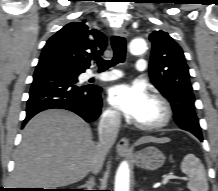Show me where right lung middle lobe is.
<instances>
[{"mask_svg": "<svg viewBox=\"0 0 218 191\" xmlns=\"http://www.w3.org/2000/svg\"><path fill=\"white\" fill-rule=\"evenodd\" d=\"M39 64H55L57 66H60L68 72L71 79L74 80L75 82H78V79H77L78 75L84 72L56 57L49 56V55L41 56L39 60Z\"/></svg>", "mask_w": 218, "mask_h": 191, "instance_id": "dd1d6c3e", "label": "right lung middle lobe"}]
</instances>
